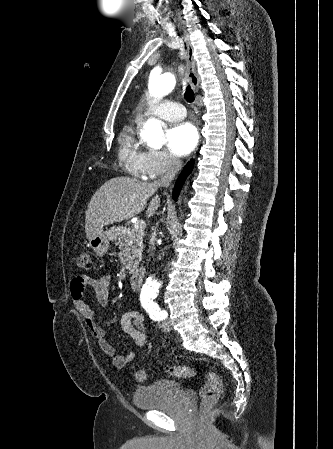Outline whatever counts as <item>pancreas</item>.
<instances>
[{
	"label": "pancreas",
	"mask_w": 333,
	"mask_h": 449,
	"mask_svg": "<svg viewBox=\"0 0 333 449\" xmlns=\"http://www.w3.org/2000/svg\"><path fill=\"white\" fill-rule=\"evenodd\" d=\"M108 238L117 239L119 249L125 253L126 268L134 270L142 259L143 233L123 226L112 227L107 234Z\"/></svg>",
	"instance_id": "obj_1"
}]
</instances>
